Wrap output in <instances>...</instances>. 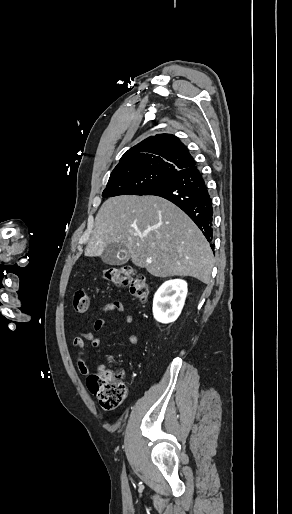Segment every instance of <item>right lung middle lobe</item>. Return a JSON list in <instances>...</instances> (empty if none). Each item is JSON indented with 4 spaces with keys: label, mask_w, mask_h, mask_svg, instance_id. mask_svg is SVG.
I'll use <instances>...</instances> for the list:
<instances>
[{
    "label": "right lung middle lobe",
    "mask_w": 292,
    "mask_h": 514,
    "mask_svg": "<svg viewBox=\"0 0 292 514\" xmlns=\"http://www.w3.org/2000/svg\"><path fill=\"white\" fill-rule=\"evenodd\" d=\"M170 175L166 172H143L110 176L102 196L143 195Z\"/></svg>",
    "instance_id": "obj_1"
}]
</instances>
